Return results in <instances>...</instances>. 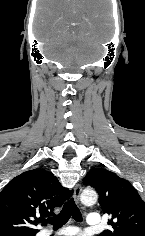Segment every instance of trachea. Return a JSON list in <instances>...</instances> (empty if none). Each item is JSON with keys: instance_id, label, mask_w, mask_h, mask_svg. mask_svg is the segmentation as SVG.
<instances>
[{"instance_id": "3493384b", "label": "trachea", "mask_w": 145, "mask_h": 236, "mask_svg": "<svg viewBox=\"0 0 145 236\" xmlns=\"http://www.w3.org/2000/svg\"><path fill=\"white\" fill-rule=\"evenodd\" d=\"M70 216L78 222L83 220L82 214L73 199H70L64 204L62 211L57 216L48 218L46 222L52 224L54 229H58L67 223Z\"/></svg>"}]
</instances>
